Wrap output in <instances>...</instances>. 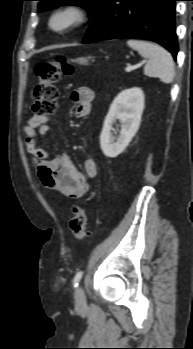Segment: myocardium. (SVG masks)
<instances>
[{"label": "myocardium", "mask_w": 193, "mask_h": 349, "mask_svg": "<svg viewBox=\"0 0 193 349\" xmlns=\"http://www.w3.org/2000/svg\"><path fill=\"white\" fill-rule=\"evenodd\" d=\"M66 15L69 21L62 27H55L53 22L56 17ZM90 16L88 8L76 1L66 2L51 10L47 17L48 29L57 35H65L84 24Z\"/></svg>", "instance_id": "f54148a6"}]
</instances>
